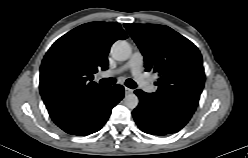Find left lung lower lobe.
<instances>
[{
  "mask_svg": "<svg viewBox=\"0 0 248 158\" xmlns=\"http://www.w3.org/2000/svg\"><path fill=\"white\" fill-rule=\"evenodd\" d=\"M140 103L133 111L138 127L152 135L176 133L190 120L192 114L183 110L167 107L156 101L150 93L136 90Z\"/></svg>",
  "mask_w": 248,
  "mask_h": 158,
  "instance_id": "left-lung-lower-lobe-1",
  "label": "left lung lower lobe"
}]
</instances>
